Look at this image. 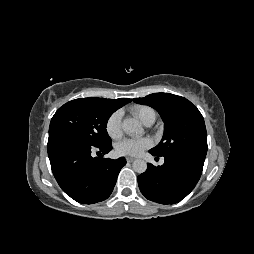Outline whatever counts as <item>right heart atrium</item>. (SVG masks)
Masks as SVG:
<instances>
[{
    "label": "right heart atrium",
    "mask_w": 254,
    "mask_h": 254,
    "mask_svg": "<svg viewBox=\"0 0 254 254\" xmlns=\"http://www.w3.org/2000/svg\"><path fill=\"white\" fill-rule=\"evenodd\" d=\"M106 132L107 134L113 138L117 139L121 136L122 130H121V113L119 111H116L112 113L107 121H106Z\"/></svg>",
    "instance_id": "d8ad5b80"
}]
</instances>
